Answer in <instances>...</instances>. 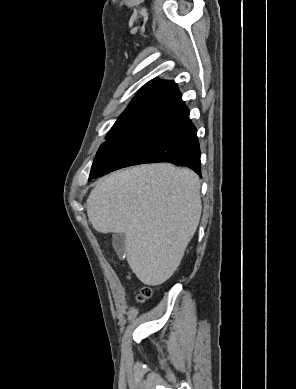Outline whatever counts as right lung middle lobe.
<instances>
[{"mask_svg":"<svg viewBox=\"0 0 296 389\" xmlns=\"http://www.w3.org/2000/svg\"><path fill=\"white\" fill-rule=\"evenodd\" d=\"M178 122L154 115L117 120L100 146L91 171L105 172L143 163L150 149Z\"/></svg>","mask_w":296,"mask_h":389,"instance_id":"obj_1","label":"right lung middle lobe"}]
</instances>
